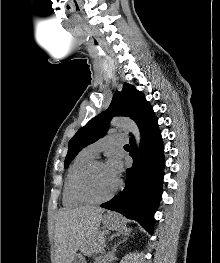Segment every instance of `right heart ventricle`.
<instances>
[{
	"instance_id": "1",
	"label": "right heart ventricle",
	"mask_w": 220,
	"mask_h": 263,
	"mask_svg": "<svg viewBox=\"0 0 220 263\" xmlns=\"http://www.w3.org/2000/svg\"><path fill=\"white\" fill-rule=\"evenodd\" d=\"M93 159L94 156L90 155L84 149L80 153H78L77 156L71 162L66 174L63 187L62 202L64 206L76 207L87 203L76 196L74 191V184L78 173L82 170V168L85 165H87Z\"/></svg>"
}]
</instances>
